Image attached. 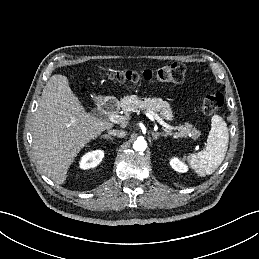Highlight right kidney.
<instances>
[{"label":"right kidney","mask_w":259,"mask_h":259,"mask_svg":"<svg viewBox=\"0 0 259 259\" xmlns=\"http://www.w3.org/2000/svg\"><path fill=\"white\" fill-rule=\"evenodd\" d=\"M103 157L104 152L102 150L88 152L82 156L79 163L80 168L84 170L94 168L102 161Z\"/></svg>","instance_id":"ca27d5eb"}]
</instances>
